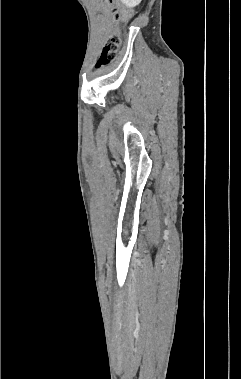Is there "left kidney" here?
<instances>
[{"mask_svg":"<svg viewBox=\"0 0 241 379\" xmlns=\"http://www.w3.org/2000/svg\"><path fill=\"white\" fill-rule=\"evenodd\" d=\"M123 4H125L127 7L129 8H132V7H135L137 5H139V3L142 1V0H121Z\"/></svg>","mask_w":241,"mask_h":379,"instance_id":"left-kidney-1","label":"left kidney"}]
</instances>
